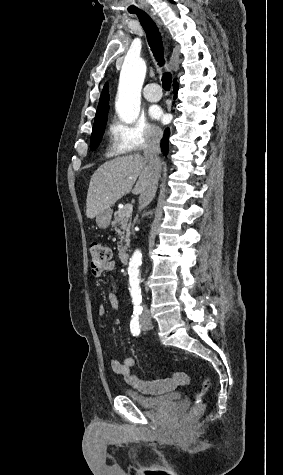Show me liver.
Listing matches in <instances>:
<instances>
[{
	"instance_id": "6515ba94",
	"label": "liver",
	"mask_w": 283,
	"mask_h": 475,
	"mask_svg": "<svg viewBox=\"0 0 283 475\" xmlns=\"http://www.w3.org/2000/svg\"><path fill=\"white\" fill-rule=\"evenodd\" d=\"M146 166L147 162L140 154L122 156L102 164L90 180L86 200L87 218L93 220L100 212L109 210L117 200L129 192L145 194L149 180L148 174L144 172ZM135 182L136 186L132 190Z\"/></svg>"
}]
</instances>
